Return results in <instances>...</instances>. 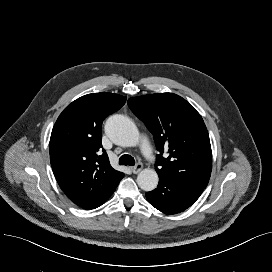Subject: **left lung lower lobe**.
Returning a JSON list of instances; mask_svg holds the SVG:
<instances>
[{"mask_svg":"<svg viewBox=\"0 0 272 272\" xmlns=\"http://www.w3.org/2000/svg\"><path fill=\"white\" fill-rule=\"evenodd\" d=\"M205 188L173 177H159L156 189L146 193L148 202L166 214L186 210L199 198Z\"/></svg>","mask_w":272,"mask_h":272,"instance_id":"left-lung-lower-lobe-1","label":"left lung lower lobe"}]
</instances>
